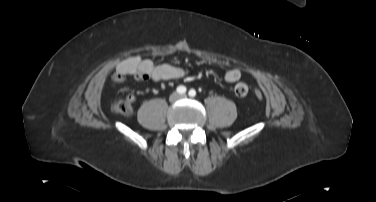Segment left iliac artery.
<instances>
[{
	"instance_id": "left-iliac-artery-1",
	"label": "left iliac artery",
	"mask_w": 376,
	"mask_h": 202,
	"mask_svg": "<svg viewBox=\"0 0 376 202\" xmlns=\"http://www.w3.org/2000/svg\"><path fill=\"white\" fill-rule=\"evenodd\" d=\"M188 94L190 97H194L196 95V91L194 89H191Z\"/></svg>"
}]
</instances>
